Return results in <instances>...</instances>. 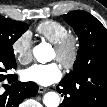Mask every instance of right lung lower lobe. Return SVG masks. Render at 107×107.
I'll return each instance as SVG.
<instances>
[{"mask_svg":"<svg viewBox=\"0 0 107 107\" xmlns=\"http://www.w3.org/2000/svg\"><path fill=\"white\" fill-rule=\"evenodd\" d=\"M18 77L13 75L7 80L12 84L5 92L0 91V107H18L23 99L35 96L38 92V85L34 82L21 83ZM0 81V85H1Z\"/></svg>","mask_w":107,"mask_h":107,"instance_id":"1","label":"right lung lower lobe"}]
</instances>
